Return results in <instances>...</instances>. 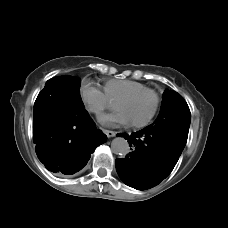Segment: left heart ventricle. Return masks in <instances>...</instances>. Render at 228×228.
I'll return each mask as SVG.
<instances>
[{"instance_id":"left-heart-ventricle-1","label":"left heart ventricle","mask_w":228,"mask_h":228,"mask_svg":"<svg viewBox=\"0 0 228 228\" xmlns=\"http://www.w3.org/2000/svg\"><path fill=\"white\" fill-rule=\"evenodd\" d=\"M153 106L154 97L151 94H146L131 101L122 110L129 119L138 121L148 116Z\"/></svg>"}]
</instances>
